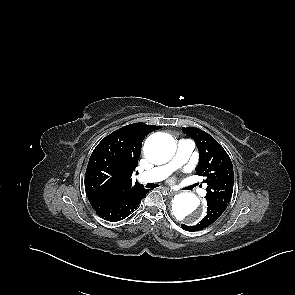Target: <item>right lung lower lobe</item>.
<instances>
[{"label":"right lung lower lobe","mask_w":295,"mask_h":295,"mask_svg":"<svg viewBox=\"0 0 295 295\" xmlns=\"http://www.w3.org/2000/svg\"><path fill=\"white\" fill-rule=\"evenodd\" d=\"M148 190L139 189L121 197H88L94 210L104 219L112 222L128 217L138 207Z\"/></svg>","instance_id":"98d812e1"}]
</instances>
